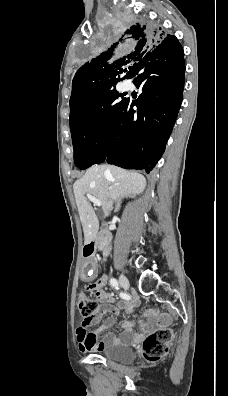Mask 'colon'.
<instances>
[{"mask_svg":"<svg viewBox=\"0 0 228 396\" xmlns=\"http://www.w3.org/2000/svg\"><path fill=\"white\" fill-rule=\"evenodd\" d=\"M77 305L81 315V326H89L99 309L98 303L87 294L80 293ZM171 341L172 333L169 329H158L154 331L143 341L142 350L144 357L149 362H157L163 359L168 354Z\"/></svg>","mask_w":228,"mask_h":396,"instance_id":"1","label":"colon"}]
</instances>
